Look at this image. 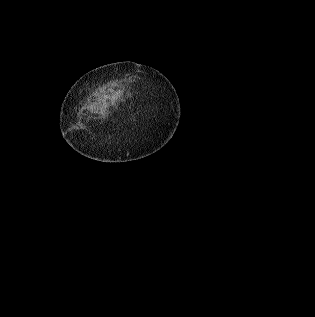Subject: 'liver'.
<instances>
[{
	"label": "liver",
	"mask_w": 315,
	"mask_h": 317,
	"mask_svg": "<svg viewBox=\"0 0 315 317\" xmlns=\"http://www.w3.org/2000/svg\"><path fill=\"white\" fill-rule=\"evenodd\" d=\"M111 105H114V100L111 101ZM108 103H104L101 108L99 114L101 115L102 118H104L108 114Z\"/></svg>",
	"instance_id": "obj_1"
}]
</instances>
